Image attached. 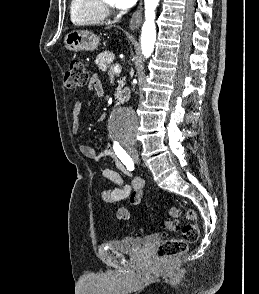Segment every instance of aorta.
<instances>
[{
    "label": "aorta",
    "instance_id": "obj_1",
    "mask_svg": "<svg viewBox=\"0 0 259 294\" xmlns=\"http://www.w3.org/2000/svg\"><path fill=\"white\" fill-rule=\"evenodd\" d=\"M159 0H144L145 21L142 26L141 48L145 58H149L156 41L155 10ZM139 118L126 108L117 109L110 121V133L117 140L133 139L136 135Z\"/></svg>",
    "mask_w": 259,
    "mask_h": 294
}]
</instances>
